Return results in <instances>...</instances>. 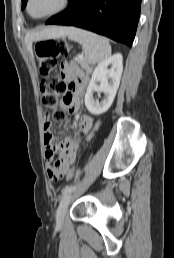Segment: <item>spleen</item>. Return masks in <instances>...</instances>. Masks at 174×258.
Segmentation results:
<instances>
[{
	"label": "spleen",
	"instance_id": "3e777b00",
	"mask_svg": "<svg viewBox=\"0 0 174 258\" xmlns=\"http://www.w3.org/2000/svg\"><path fill=\"white\" fill-rule=\"evenodd\" d=\"M67 36L82 44L86 62L89 64L99 63L111 55V46L105 37L76 27H69Z\"/></svg>",
	"mask_w": 174,
	"mask_h": 258
}]
</instances>
